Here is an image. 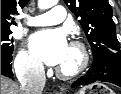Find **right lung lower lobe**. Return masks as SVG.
<instances>
[{"label": "right lung lower lobe", "mask_w": 121, "mask_h": 94, "mask_svg": "<svg viewBox=\"0 0 121 94\" xmlns=\"http://www.w3.org/2000/svg\"><path fill=\"white\" fill-rule=\"evenodd\" d=\"M12 55H1V74L7 77H12Z\"/></svg>", "instance_id": "right-lung-lower-lobe-1"}]
</instances>
